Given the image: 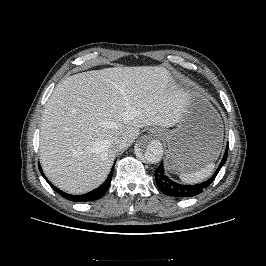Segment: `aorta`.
<instances>
[{"label":"aorta","mask_w":266,"mask_h":266,"mask_svg":"<svg viewBox=\"0 0 266 266\" xmlns=\"http://www.w3.org/2000/svg\"><path fill=\"white\" fill-rule=\"evenodd\" d=\"M136 153L144 157L147 162L157 163L163 156V147L158 140H141L136 146Z\"/></svg>","instance_id":"obj_1"}]
</instances>
